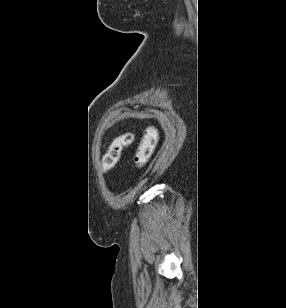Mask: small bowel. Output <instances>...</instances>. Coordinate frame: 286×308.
I'll return each instance as SVG.
<instances>
[{
	"mask_svg": "<svg viewBox=\"0 0 286 308\" xmlns=\"http://www.w3.org/2000/svg\"><path fill=\"white\" fill-rule=\"evenodd\" d=\"M149 138L153 139L154 141L157 140V138H158V133H157V131H156L155 129H148V130L146 131L143 140L149 139Z\"/></svg>",
	"mask_w": 286,
	"mask_h": 308,
	"instance_id": "1",
	"label": "small bowel"
}]
</instances>
